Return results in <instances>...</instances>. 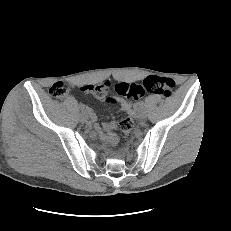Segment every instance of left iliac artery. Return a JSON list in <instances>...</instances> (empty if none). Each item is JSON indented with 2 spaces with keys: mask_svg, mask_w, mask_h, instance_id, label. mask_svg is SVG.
<instances>
[{
  "mask_svg": "<svg viewBox=\"0 0 231 231\" xmlns=\"http://www.w3.org/2000/svg\"><path fill=\"white\" fill-rule=\"evenodd\" d=\"M145 106H146V103H145L144 101H140V102L138 103V108H139L140 110H143V109L145 108Z\"/></svg>",
  "mask_w": 231,
  "mask_h": 231,
  "instance_id": "obj_1",
  "label": "left iliac artery"
}]
</instances>
